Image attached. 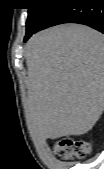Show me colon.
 <instances>
[{
	"label": "colon",
	"mask_w": 104,
	"mask_h": 169,
	"mask_svg": "<svg viewBox=\"0 0 104 169\" xmlns=\"http://www.w3.org/2000/svg\"><path fill=\"white\" fill-rule=\"evenodd\" d=\"M54 147L56 154L65 160L82 158L90 150L89 142L81 139H74L69 136L56 140Z\"/></svg>",
	"instance_id": "colon-1"
}]
</instances>
